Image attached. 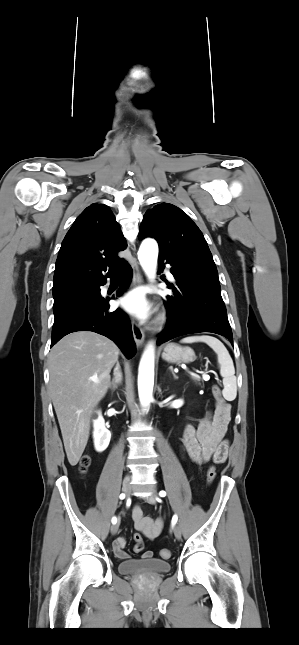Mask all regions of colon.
Returning a JSON list of instances; mask_svg holds the SVG:
<instances>
[{"label": "colon", "instance_id": "1", "mask_svg": "<svg viewBox=\"0 0 299 645\" xmlns=\"http://www.w3.org/2000/svg\"><path fill=\"white\" fill-rule=\"evenodd\" d=\"M212 393H213V396L215 397V399L218 401V403H220L222 405L227 404L225 399L222 396V392H221V389H220L219 386L214 385L212 387ZM90 463H91L90 457L89 456H83L82 459L80 460L79 470L82 473L87 472V470H88V468L90 466ZM215 477H216V469H215L214 466H210L208 468V470H207V481H208V483H212L214 481ZM134 539H135V542H136V544L134 546V551L136 553L143 552L144 544L142 542V537L140 535H138V534H135ZM160 555H161L162 558L168 559V558L171 557V551L169 549H162L160 551Z\"/></svg>", "mask_w": 299, "mask_h": 645}]
</instances>
